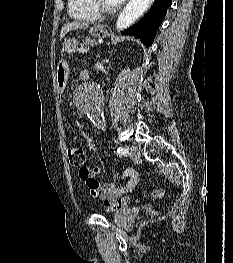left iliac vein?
I'll return each instance as SVG.
<instances>
[{
	"label": "left iliac vein",
	"mask_w": 233,
	"mask_h": 263,
	"mask_svg": "<svg viewBox=\"0 0 233 263\" xmlns=\"http://www.w3.org/2000/svg\"><path fill=\"white\" fill-rule=\"evenodd\" d=\"M129 156L133 160H138L140 158V151L137 146L135 145L129 146Z\"/></svg>",
	"instance_id": "obj_1"
}]
</instances>
